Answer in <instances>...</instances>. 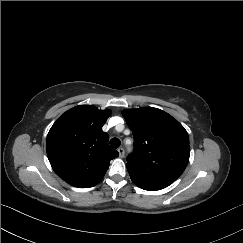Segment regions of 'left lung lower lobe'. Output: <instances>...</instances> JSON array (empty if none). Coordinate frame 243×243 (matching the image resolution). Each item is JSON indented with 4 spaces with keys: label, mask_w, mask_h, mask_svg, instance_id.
Listing matches in <instances>:
<instances>
[{
    "label": "left lung lower lobe",
    "mask_w": 243,
    "mask_h": 243,
    "mask_svg": "<svg viewBox=\"0 0 243 243\" xmlns=\"http://www.w3.org/2000/svg\"><path fill=\"white\" fill-rule=\"evenodd\" d=\"M173 181H175V180H161L156 183L136 184V185L144 190L155 191V190H160V189H163V188L169 186L170 184H172Z\"/></svg>",
    "instance_id": "0a47b994"
}]
</instances>
